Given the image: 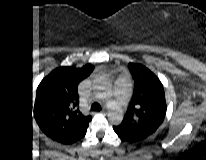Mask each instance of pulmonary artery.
I'll return each instance as SVG.
<instances>
[{
  "instance_id": "pulmonary-artery-1",
  "label": "pulmonary artery",
  "mask_w": 206,
  "mask_h": 160,
  "mask_svg": "<svg viewBox=\"0 0 206 160\" xmlns=\"http://www.w3.org/2000/svg\"><path fill=\"white\" fill-rule=\"evenodd\" d=\"M113 93H114V96L116 98V101L119 104L125 103L126 98H127V94H128V85H127V82L125 81V79L119 78L116 81V85H115Z\"/></svg>"
}]
</instances>
